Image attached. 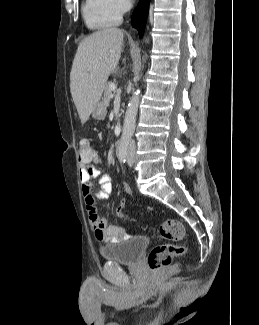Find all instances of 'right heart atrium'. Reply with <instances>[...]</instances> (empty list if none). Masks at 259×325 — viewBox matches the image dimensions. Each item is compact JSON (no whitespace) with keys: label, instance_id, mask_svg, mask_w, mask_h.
I'll list each match as a JSON object with an SVG mask.
<instances>
[{"label":"right heart atrium","instance_id":"right-heart-atrium-1","mask_svg":"<svg viewBox=\"0 0 259 325\" xmlns=\"http://www.w3.org/2000/svg\"><path fill=\"white\" fill-rule=\"evenodd\" d=\"M110 1H111V5H112L113 9L119 15L124 14L129 7L128 0H110Z\"/></svg>","mask_w":259,"mask_h":325}]
</instances>
